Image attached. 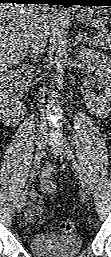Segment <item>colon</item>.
Masks as SVG:
<instances>
[{"label":"colon","instance_id":"obj_1","mask_svg":"<svg viewBox=\"0 0 111 257\" xmlns=\"http://www.w3.org/2000/svg\"><path fill=\"white\" fill-rule=\"evenodd\" d=\"M59 227L66 233H71L75 230V223L72 220H63L59 223Z\"/></svg>","mask_w":111,"mask_h":257}]
</instances>
